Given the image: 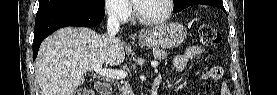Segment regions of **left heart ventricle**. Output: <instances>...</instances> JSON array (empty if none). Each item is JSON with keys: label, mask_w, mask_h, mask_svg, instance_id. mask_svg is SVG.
<instances>
[{"label": "left heart ventricle", "mask_w": 277, "mask_h": 95, "mask_svg": "<svg viewBox=\"0 0 277 95\" xmlns=\"http://www.w3.org/2000/svg\"><path fill=\"white\" fill-rule=\"evenodd\" d=\"M164 0H141L138 2V12L145 18H158L166 13Z\"/></svg>", "instance_id": "obj_1"}]
</instances>
